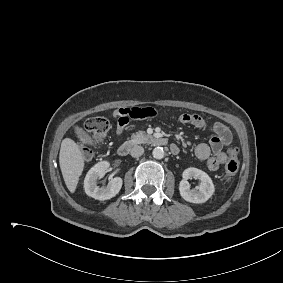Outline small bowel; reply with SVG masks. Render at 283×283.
<instances>
[{"mask_svg": "<svg viewBox=\"0 0 283 283\" xmlns=\"http://www.w3.org/2000/svg\"><path fill=\"white\" fill-rule=\"evenodd\" d=\"M156 115L157 111L152 107H132L116 110L114 118L117 122V136L121 138L131 119H145ZM179 120L183 124L192 125L199 129H207L212 133L213 136L208 143H200L196 146L195 155L198 159L205 161L210 171L218 170L227 160V155L223 149L232 142V134L229 128L221 122L208 125L200 115L194 113L181 114Z\"/></svg>", "mask_w": 283, "mask_h": 283, "instance_id": "c3829d8e", "label": "small bowel"}]
</instances>
